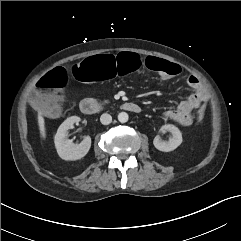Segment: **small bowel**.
<instances>
[{
	"label": "small bowel",
	"instance_id": "small-bowel-1",
	"mask_svg": "<svg viewBox=\"0 0 241 241\" xmlns=\"http://www.w3.org/2000/svg\"><path fill=\"white\" fill-rule=\"evenodd\" d=\"M187 83L194 92L185 100H182L176 109L167 110L165 112L166 118L182 126H190L193 123L192 111L199 108L207 99V92L196 76H189Z\"/></svg>",
	"mask_w": 241,
	"mask_h": 241
}]
</instances>
